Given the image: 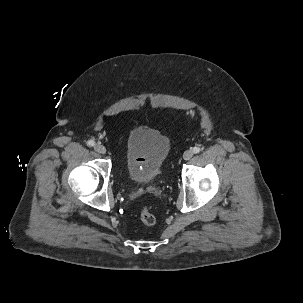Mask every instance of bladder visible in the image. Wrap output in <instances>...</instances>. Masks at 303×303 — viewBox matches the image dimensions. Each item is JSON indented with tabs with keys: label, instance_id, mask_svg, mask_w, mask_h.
Instances as JSON below:
<instances>
[{
	"label": "bladder",
	"instance_id": "bladder-1",
	"mask_svg": "<svg viewBox=\"0 0 303 303\" xmlns=\"http://www.w3.org/2000/svg\"><path fill=\"white\" fill-rule=\"evenodd\" d=\"M171 147L170 138L152 128L132 129L125 141V165L128 178L148 184L160 174Z\"/></svg>",
	"mask_w": 303,
	"mask_h": 303
}]
</instances>
